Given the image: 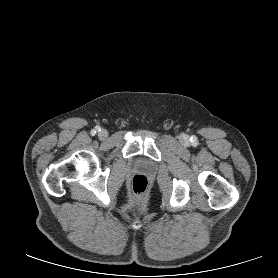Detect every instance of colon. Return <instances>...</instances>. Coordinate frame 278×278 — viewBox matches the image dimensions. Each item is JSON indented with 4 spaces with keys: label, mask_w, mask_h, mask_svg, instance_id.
Wrapping results in <instances>:
<instances>
[{
    "label": "colon",
    "mask_w": 278,
    "mask_h": 278,
    "mask_svg": "<svg viewBox=\"0 0 278 278\" xmlns=\"http://www.w3.org/2000/svg\"><path fill=\"white\" fill-rule=\"evenodd\" d=\"M149 188V182L146 176L144 175H135L131 182V192L137 197H143Z\"/></svg>",
    "instance_id": "colon-1"
}]
</instances>
